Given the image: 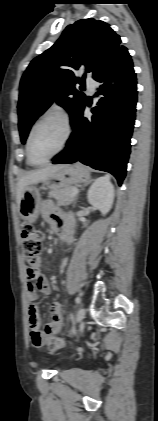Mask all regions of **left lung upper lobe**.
Returning <instances> with one entry per match:
<instances>
[{
    "mask_svg": "<svg viewBox=\"0 0 158 421\" xmlns=\"http://www.w3.org/2000/svg\"><path fill=\"white\" fill-rule=\"evenodd\" d=\"M121 40L109 24L81 19L66 27L57 42L36 57L20 82L19 131L25 143L35 120L56 101L70 113L71 123L86 102L75 88L82 83L75 70L84 68L92 77L102 71L120 49Z\"/></svg>",
    "mask_w": 158,
    "mask_h": 421,
    "instance_id": "1",
    "label": "left lung upper lobe"
}]
</instances>
